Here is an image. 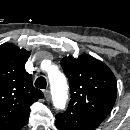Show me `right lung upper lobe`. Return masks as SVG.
Returning a JSON list of instances; mask_svg holds the SVG:
<instances>
[{"instance_id":"1","label":"right lung upper lobe","mask_w":130,"mask_h":130,"mask_svg":"<svg viewBox=\"0 0 130 130\" xmlns=\"http://www.w3.org/2000/svg\"><path fill=\"white\" fill-rule=\"evenodd\" d=\"M29 56V51L11 43L0 45V130L22 128L28 121L30 106L43 98L25 70Z\"/></svg>"}]
</instances>
